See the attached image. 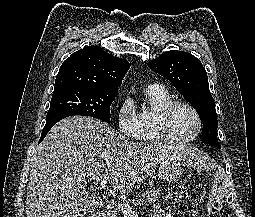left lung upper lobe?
<instances>
[{
    "label": "left lung upper lobe",
    "instance_id": "5c2ea615",
    "mask_svg": "<svg viewBox=\"0 0 255 217\" xmlns=\"http://www.w3.org/2000/svg\"><path fill=\"white\" fill-rule=\"evenodd\" d=\"M148 66L169 80L196 108L203 122L202 142L221 148L216 135L215 103L209 90L207 72L200 60L190 53L171 50L149 61Z\"/></svg>",
    "mask_w": 255,
    "mask_h": 217
}]
</instances>
